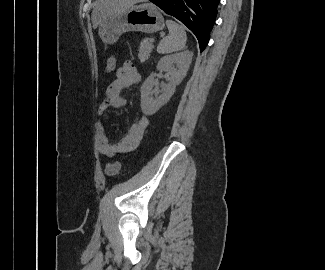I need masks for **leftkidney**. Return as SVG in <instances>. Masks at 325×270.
<instances>
[{"label": "left kidney", "instance_id": "left-kidney-1", "mask_svg": "<svg viewBox=\"0 0 325 270\" xmlns=\"http://www.w3.org/2000/svg\"><path fill=\"white\" fill-rule=\"evenodd\" d=\"M193 52L185 50L180 53L162 57L156 69L170 75V82L162 87L161 94L154 90L156 85L152 73L141 86V109L145 115L155 114L165 105L175 92L176 86L185 78L191 64ZM155 95V97L153 96Z\"/></svg>", "mask_w": 325, "mask_h": 270}]
</instances>
